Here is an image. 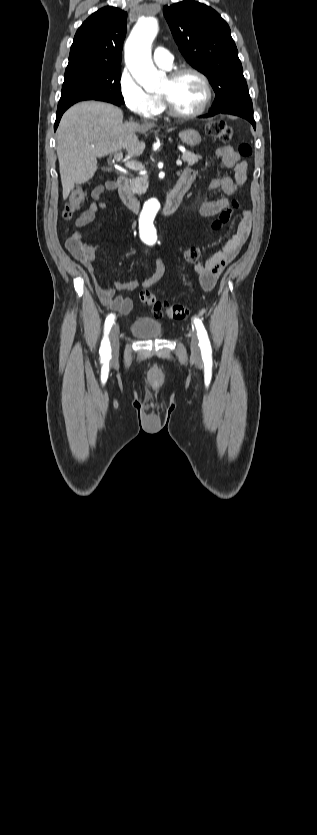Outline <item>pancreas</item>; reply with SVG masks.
<instances>
[{
  "label": "pancreas",
  "mask_w": 317,
  "mask_h": 835,
  "mask_svg": "<svg viewBox=\"0 0 317 835\" xmlns=\"http://www.w3.org/2000/svg\"><path fill=\"white\" fill-rule=\"evenodd\" d=\"M181 158H182L183 161L187 162V164L189 166H192L195 163H197L202 158V156L198 155V154H194L191 151H186V152H183ZM147 188H148V180H147L146 176L136 177V178H132L130 180L129 190L132 194V197L135 194L145 193Z\"/></svg>",
  "instance_id": "obj_1"
}]
</instances>
